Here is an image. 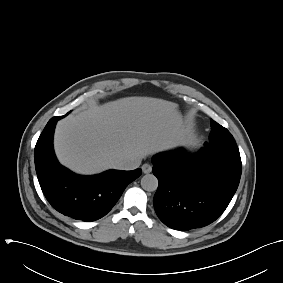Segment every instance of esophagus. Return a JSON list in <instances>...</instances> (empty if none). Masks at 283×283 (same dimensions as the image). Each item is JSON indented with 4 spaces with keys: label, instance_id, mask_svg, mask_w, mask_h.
Listing matches in <instances>:
<instances>
[{
    "label": "esophagus",
    "instance_id": "esophagus-1",
    "mask_svg": "<svg viewBox=\"0 0 283 283\" xmlns=\"http://www.w3.org/2000/svg\"><path fill=\"white\" fill-rule=\"evenodd\" d=\"M141 169L143 173L148 174L152 171V166L148 163H145L142 165Z\"/></svg>",
    "mask_w": 283,
    "mask_h": 283
}]
</instances>
